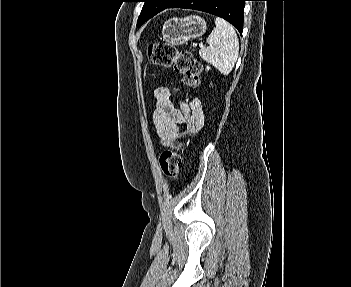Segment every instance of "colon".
<instances>
[{"instance_id":"obj_1","label":"colon","mask_w":351,"mask_h":287,"mask_svg":"<svg viewBox=\"0 0 351 287\" xmlns=\"http://www.w3.org/2000/svg\"><path fill=\"white\" fill-rule=\"evenodd\" d=\"M148 58L152 64L174 67L182 75V83L185 87H197L201 65L189 51L178 50L169 44L153 43L148 47ZM184 149V142L177 141L170 149L161 154L160 167L167 177L177 179L181 165V154Z\"/></svg>"}]
</instances>
